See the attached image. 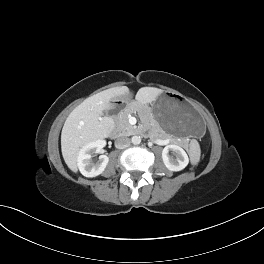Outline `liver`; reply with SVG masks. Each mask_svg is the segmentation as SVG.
Listing matches in <instances>:
<instances>
[{
    "instance_id": "liver-1",
    "label": "liver",
    "mask_w": 264,
    "mask_h": 264,
    "mask_svg": "<svg viewBox=\"0 0 264 264\" xmlns=\"http://www.w3.org/2000/svg\"><path fill=\"white\" fill-rule=\"evenodd\" d=\"M163 91L158 88L144 87L136 94V102L145 105L157 99ZM129 96L126 86L114 87L85 99L67 117L61 133V150L65 163L77 172V158L84 145L108 138L114 129L113 118L103 116L104 110L114 107L117 98Z\"/></svg>"
}]
</instances>
